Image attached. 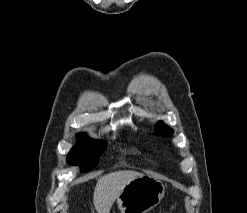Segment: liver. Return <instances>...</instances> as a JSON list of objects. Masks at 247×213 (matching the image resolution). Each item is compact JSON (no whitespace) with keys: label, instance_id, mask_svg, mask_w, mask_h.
<instances>
[{"label":"liver","instance_id":"obj_1","mask_svg":"<svg viewBox=\"0 0 247 213\" xmlns=\"http://www.w3.org/2000/svg\"><path fill=\"white\" fill-rule=\"evenodd\" d=\"M143 176L135 171H117L98 179L93 194V204L98 213H109L123 188L132 180Z\"/></svg>","mask_w":247,"mask_h":213}]
</instances>
